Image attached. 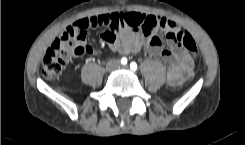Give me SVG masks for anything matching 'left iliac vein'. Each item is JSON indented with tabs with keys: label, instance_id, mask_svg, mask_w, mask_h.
I'll use <instances>...</instances> for the list:
<instances>
[{
	"label": "left iliac vein",
	"instance_id": "1",
	"mask_svg": "<svg viewBox=\"0 0 245 145\" xmlns=\"http://www.w3.org/2000/svg\"><path fill=\"white\" fill-rule=\"evenodd\" d=\"M123 68H124V69H128V66H124Z\"/></svg>",
	"mask_w": 245,
	"mask_h": 145
}]
</instances>
